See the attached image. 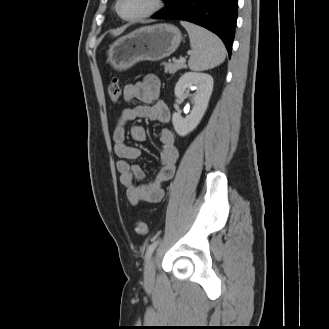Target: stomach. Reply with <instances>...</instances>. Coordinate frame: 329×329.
Wrapping results in <instances>:
<instances>
[{
    "label": "stomach",
    "instance_id": "1",
    "mask_svg": "<svg viewBox=\"0 0 329 329\" xmlns=\"http://www.w3.org/2000/svg\"><path fill=\"white\" fill-rule=\"evenodd\" d=\"M181 40L180 30L171 24L141 27L110 45L107 61L117 70L128 69L139 61H158L170 56Z\"/></svg>",
    "mask_w": 329,
    "mask_h": 329
}]
</instances>
